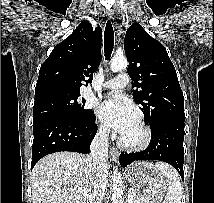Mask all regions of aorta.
Returning <instances> with one entry per match:
<instances>
[{
    "label": "aorta",
    "mask_w": 214,
    "mask_h": 203,
    "mask_svg": "<svg viewBox=\"0 0 214 203\" xmlns=\"http://www.w3.org/2000/svg\"><path fill=\"white\" fill-rule=\"evenodd\" d=\"M127 66V58L117 55L112 59L110 67L112 72H118ZM112 203H123V181L117 167L113 170Z\"/></svg>",
    "instance_id": "1"
}]
</instances>
